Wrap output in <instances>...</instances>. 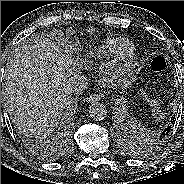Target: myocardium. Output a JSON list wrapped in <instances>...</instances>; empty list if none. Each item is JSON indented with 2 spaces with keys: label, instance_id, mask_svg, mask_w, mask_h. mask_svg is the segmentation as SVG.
I'll return each instance as SVG.
<instances>
[{
  "label": "myocardium",
  "instance_id": "obj_1",
  "mask_svg": "<svg viewBox=\"0 0 184 184\" xmlns=\"http://www.w3.org/2000/svg\"><path fill=\"white\" fill-rule=\"evenodd\" d=\"M136 62H137V56L134 54L127 61H125L122 65L115 68L114 76L118 80H124L130 74Z\"/></svg>",
  "mask_w": 184,
  "mask_h": 184
}]
</instances>
